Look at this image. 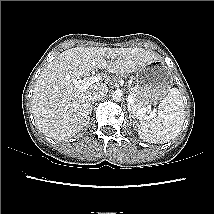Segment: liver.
<instances>
[{"instance_id": "6515ba94", "label": "liver", "mask_w": 214, "mask_h": 214, "mask_svg": "<svg viewBox=\"0 0 214 214\" xmlns=\"http://www.w3.org/2000/svg\"><path fill=\"white\" fill-rule=\"evenodd\" d=\"M154 59L158 58L153 52L137 47H76L60 53L45 66L34 87L32 113L38 128L54 140L72 138L90 120L93 107L90 94L106 85L110 77L85 90L77 88L73 80L86 77L96 69L125 76Z\"/></svg>"}]
</instances>
